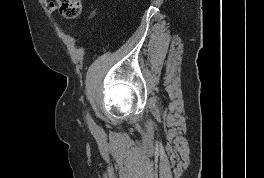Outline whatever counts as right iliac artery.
Segmentation results:
<instances>
[{
    "mask_svg": "<svg viewBox=\"0 0 264 178\" xmlns=\"http://www.w3.org/2000/svg\"><path fill=\"white\" fill-rule=\"evenodd\" d=\"M87 122H88V124H89V126L90 127H93L94 126V122H93V120L91 119V117L87 114Z\"/></svg>",
    "mask_w": 264,
    "mask_h": 178,
    "instance_id": "right-iliac-artery-1",
    "label": "right iliac artery"
}]
</instances>
